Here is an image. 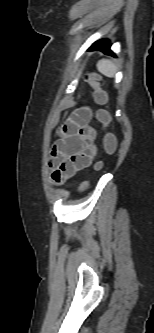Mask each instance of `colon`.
<instances>
[{"mask_svg": "<svg viewBox=\"0 0 154 333\" xmlns=\"http://www.w3.org/2000/svg\"><path fill=\"white\" fill-rule=\"evenodd\" d=\"M86 81L90 84L93 89V98L94 101L100 106L97 110L96 118L101 124L103 130L105 131L103 144L104 149L107 155H113L117 148V139L116 136L108 131V126L110 124L111 118L109 112L102 108V106L107 102V95L105 91L101 88L99 84V78L97 75L88 74L85 76ZM103 168V162L99 161L94 165V169L99 171ZM87 187V182H84L81 186V189H85Z\"/></svg>", "mask_w": 154, "mask_h": 333, "instance_id": "colon-1", "label": "colon"}]
</instances>
